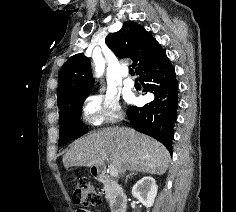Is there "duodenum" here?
<instances>
[{"instance_id":"obj_1","label":"duodenum","mask_w":236,"mask_h":212,"mask_svg":"<svg viewBox=\"0 0 236 212\" xmlns=\"http://www.w3.org/2000/svg\"><path fill=\"white\" fill-rule=\"evenodd\" d=\"M93 175L100 179L107 187L111 196L112 212H126L127 198L123 188L111 180L105 169L98 167L93 171Z\"/></svg>"}]
</instances>
